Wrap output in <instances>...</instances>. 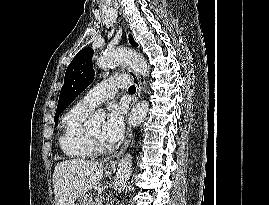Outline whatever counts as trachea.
<instances>
[{
  "label": "trachea",
  "instance_id": "1",
  "mask_svg": "<svg viewBox=\"0 0 269 205\" xmlns=\"http://www.w3.org/2000/svg\"><path fill=\"white\" fill-rule=\"evenodd\" d=\"M130 94H134L136 92V87L134 85H131L128 89Z\"/></svg>",
  "mask_w": 269,
  "mask_h": 205
}]
</instances>
